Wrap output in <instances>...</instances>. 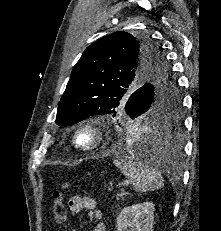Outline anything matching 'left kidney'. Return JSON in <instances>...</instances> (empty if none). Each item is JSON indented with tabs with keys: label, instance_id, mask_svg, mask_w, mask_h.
Segmentation results:
<instances>
[{
	"label": "left kidney",
	"instance_id": "obj_1",
	"mask_svg": "<svg viewBox=\"0 0 221 231\" xmlns=\"http://www.w3.org/2000/svg\"><path fill=\"white\" fill-rule=\"evenodd\" d=\"M154 211L153 202L125 207L117 217V231H153Z\"/></svg>",
	"mask_w": 221,
	"mask_h": 231
}]
</instances>
